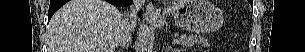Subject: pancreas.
Wrapping results in <instances>:
<instances>
[{
	"label": "pancreas",
	"instance_id": "obj_1",
	"mask_svg": "<svg viewBox=\"0 0 305 52\" xmlns=\"http://www.w3.org/2000/svg\"><path fill=\"white\" fill-rule=\"evenodd\" d=\"M180 42L183 46L192 47L195 45H208V41L201 35H182Z\"/></svg>",
	"mask_w": 305,
	"mask_h": 52
}]
</instances>
